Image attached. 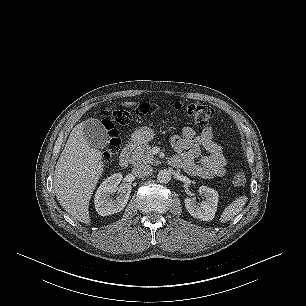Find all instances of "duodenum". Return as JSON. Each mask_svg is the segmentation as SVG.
Segmentation results:
<instances>
[{"label":"duodenum","mask_w":306,"mask_h":306,"mask_svg":"<svg viewBox=\"0 0 306 306\" xmlns=\"http://www.w3.org/2000/svg\"><path fill=\"white\" fill-rule=\"evenodd\" d=\"M133 148H134V144L132 142L127 143L123 147L122 152H121L120 157H119V166L121 168L124 169L128 166L130 155L133 151Z\"/></svg>","instance_id":"duodenum-1"}]
</instances>
